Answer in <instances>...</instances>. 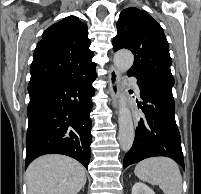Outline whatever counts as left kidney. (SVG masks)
I'll list each match as a JSON object with an SVG mask.
<instances>
[{
    "mask_svg": "<svg viewBox=\"0 0 201 194\" xmlns=\"http://www.w3.org/2000/svg\"><path fill=\"white\" fill-rule=\"evenodd\" d=\"M131 194H155V192L144 183L137 182L133 185Z\"/></svg>",
    "mask_w": 201,
    "mask_h": 194,
    "instance_id": "1",
    "label": "left kidney"
}]
</instances>
